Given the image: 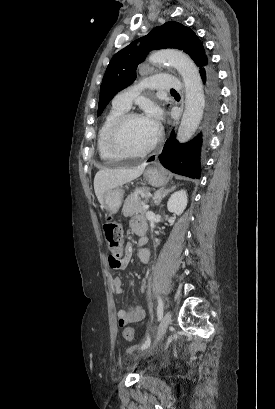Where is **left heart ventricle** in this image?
Wrapping results in <instances>:
<instances>
[{"label":"left heart ventricle","instance_id":"b2bd125f","mask_svg":"<svg viewBox=\"0 0 275 409\" xmlns=\"http://www.w3.org/2000/svg\"><path fill=\"white\" fill-rule=\"evenodd\" d=\"M156 131L144 118L129 122L122 131L120 144L129 150H138L146 147L154 138Z\"/></svg>","mask_w":275,"mask_h":409}]
</instances>
